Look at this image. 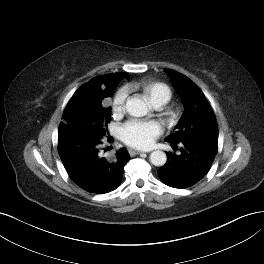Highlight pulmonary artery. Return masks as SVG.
<instances>
[{
    "label": "pulmonary artery",
    "instance_id": "e3ab8cb5",
    "mask_svg": "<svg viewBox=\"0 0 264 264\" xmlns=\"http://www.w3.org/2000/svg\"><path fill=\"white\" fill-rule=\"evenodd\" d=\"M163 106H164V104H162V103H157V104L154 105V107H155L157 110L162 109Z\"/></svg>",
    "mask_w": 264,
    "mask_h": 264
}]
</instances>
